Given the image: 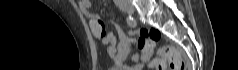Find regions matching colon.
I'll return each mask as SVG.
<instances>
[{"label": "colon", "instance_id": "colon-1", "mask_svg": "<svg viewBox=\"0 0 238 70\" xmlns=\"http://www.w3.org/2000/svg\"><path fill=\"white\" fill-rule=\"evenodd\" d=\"M160 32L154 28H145L140 31V46L146 56H151ZM169 65L170 70H185V63L176 48L162 46L158 49V57L150 61V67L156 70H165Z\"/></svg>", "mask_w": 238, "mask_h": 70}]
</instances>
